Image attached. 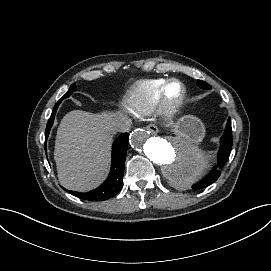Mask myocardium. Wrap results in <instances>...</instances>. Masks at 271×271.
Here are the masks:
<instances>
[{
	"mask_svg": "<svg viewBox=\"0 0 271 271\" xmlns=\"http://www.w3.org/2000/svg\"><path fill=\"white\" fill-rule=\"evenodd\" d=\"M179 86L177 92H173V86ZM188 95L186 84L179 78L169 79L162 90L161 103L165 113H172L178 109L185 101Z\"/></svg>",
	"mask_w": 271,
	"mask_h": 271,
	"instance_id": "obj_1",
	"label": "myocardium"
}]
</instances>
